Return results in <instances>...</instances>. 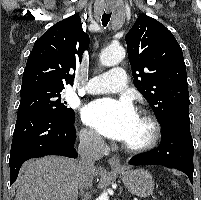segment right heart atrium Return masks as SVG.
Returning <instances> with one entry per match:
<instances>
[{"label":"right heart atrium","mask_w":201,"mask_h":200,"mask_svg":"<svg viewBox=\"0 0 201 200\" xmlns=\"http://www.w3.org/2000/svg\"><path fill=\"white\" fill-rule=\"evenodd\" d=\"M80 141L88 149L101 152L105 143L103 139L93 130L88 128H83L80 131Z\"/></svg>","instance_id":"obj_1"}]
</instances>
